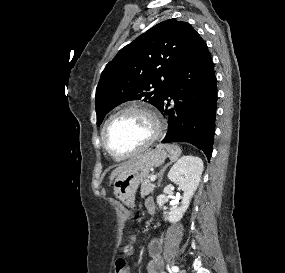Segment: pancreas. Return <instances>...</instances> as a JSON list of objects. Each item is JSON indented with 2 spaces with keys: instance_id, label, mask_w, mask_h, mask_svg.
<instances>
[{
  "instance_id": "pancreas-1",
  "label": "pancreas",
  "mask_w": 285,
  "mask_h": 273,
  "mask_svg": "<svg viewBox=\"0 0 285 273\" xmlns=\"http://www.w3.org/2000/svg\"><path fill=\"white\" fill-rule=\"evenodd\" d=\"M155 184H153L149 179L144 180L141 184V197H145L153 192Z\"/></svg>"
}]
</instances>
